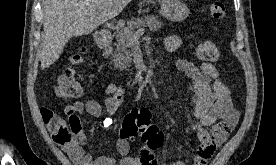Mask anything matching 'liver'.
<instances>
[{"label":"liver","instance_id":"1","mask_svg":"<svg viewBox=\"0 0 276 165\" xmlns=\"http://www.w3.org/2000/svg\"><path fill=\"white\" fill-rule=\"evenodd\" d=\"M132 0H45L41 69L54 64L73 36L91 33L118 16ZM98 15V16H96Z\"/></svg>","mask_w":276,"mask_h":165}]
</instances>
